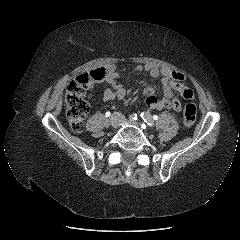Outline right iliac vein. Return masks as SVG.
Returning a JSON list of instances; mask_svg holds the SVG:
<instances>
[{"mask_svg": "<svg viewBox=\"0 0 240 240\" xmlns=\"http://www.w3.org/2000/svg\"><path fill=\"white\" fill-rule=\"evenodd\" d=\"M110 124L112 127L116 128L119 126L120 124V119L118 116H112L110 119Z\"/></svg>", "mask_w": 240, "mask_h": 240, "instance_id": "1", "label": "right iliac vein"}]
</instances>
